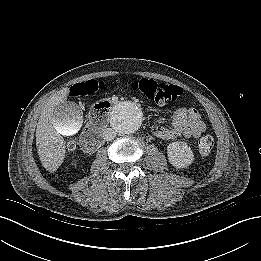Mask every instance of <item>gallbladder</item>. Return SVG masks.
Wrapping results in <instances>:
<instances>
[{
  "label": "gallbladder",
  "instance_id": "1",
  "mask_svg": "<svg viewBox=\"0 0 261 261\" xmlns=\"http://www.w3.org/2000/svg\"><path fill=\"white\" fill-rule=\"evenodd\" d=\"M53 128L63 136L75 134L82 126L83 113L72 101L57 105L50 114Z\"/></svg>",
  "mask_w": 261,
  "mask_h": 261
}]
</instances>
